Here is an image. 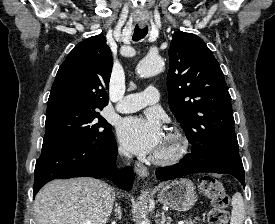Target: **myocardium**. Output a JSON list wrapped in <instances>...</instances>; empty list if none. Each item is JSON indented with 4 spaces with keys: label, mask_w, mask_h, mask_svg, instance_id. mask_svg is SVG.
I'll use <instances>...</instances> for the list:
<instances>
[{
    "label": "myocardium",
    "mask_w": 275,
    "mask_h": 224,
    "mask_svg": "<svg viewBox=\"0 0 275 224\" xmlns=\"http://www.w3.org/2000/svg\"><path fill=\"white\" fill-rule=\"evenodd\" d=\"M188 140L178 130L169 131L161 148L154 154L153 161L159 164H170L180 160L188 149Z\"/></svg>",
    "instance_id": "1"
}]
</instances>
